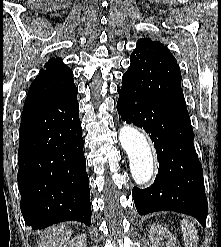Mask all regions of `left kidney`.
Segmentation results:
<instances>
[{"label": "left kidney", "instance_id": "1", "mask_svg": "<svg viewBox=\"0 0 221 247\" xmlns=\"http://www.w3.org/2000/svg\"><path fill=\"white\" fill-rule=\"evenodd\" d=\"M149 239L152 247H180L176 236L158 224L151 225Z\"/></svg>", "mask_w": 221, "mask_h": 247}]
</instances>
